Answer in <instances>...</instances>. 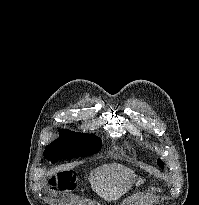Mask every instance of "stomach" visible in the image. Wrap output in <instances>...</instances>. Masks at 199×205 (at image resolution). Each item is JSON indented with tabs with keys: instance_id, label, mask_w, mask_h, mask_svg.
Wrapping results in <instances>:
<instances>
[{
	"instance_id": "1",
	"label": "stomach",
	"mask_w": 199,
	"mask_h": 205,
	"mask_svg": "<svg viewBox=\"0 0 199 205\" xmlns=\"http://www.w3.org/2000/svg\"><path fill=\"white\" fill-rule=\"evenodd\" d=\"M136 177H137L136 175L133 176V178H132V180H131V183L135 182L136 180H137V184H139L140 182H142L140 179H137Z\"/></svg>"
}]
</instances>
